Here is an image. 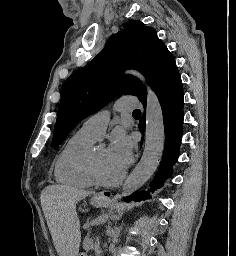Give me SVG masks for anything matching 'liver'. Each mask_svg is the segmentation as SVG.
Returning a JSON list of instances; mask_svg holds the SVG:
<instances>
[{
  "label": "liver",
  "mask_w": 236,
  "mask_h": 256,
  "mask_svg": "<svg viewBox=\"0 0 236 256\" xmlns=\"http://www.w3.org/2000/svg\"><path fill=\"white\" fill-rule=\"evenodd\" d=\"M91 192L69 186H47L41 206L59 256H77L81 242L76 204Z\"/></svg>",
  "instance_id": "obj_1"
}]
</instances>
